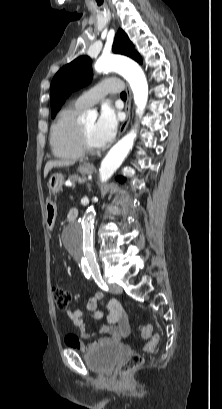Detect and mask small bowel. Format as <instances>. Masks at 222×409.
Returning a JSON list of instances; mask_svg holds the SVG:
<instances>
[{
    "instance_id": "obj_1",
    "label": "small bowel",
    "mask_w": 222,
    "mask_h": 409,
    "mask_svg": "<svg viewBox=\"0 0 222 409\" xmlns=\"http://www.w3.org/2000/svg\"><path fill=\"white\" fill-rule=\"evenodd\" d=\"M104 297L105 295L99 292L90 298L83 308L68 309L67 315L73 324L78 327L81 339H90L96 333L105 334L106 336L87 346L77 337L68 336L66 341L69 347L80 352H86L99 345L118 343L129 335L128 317L122 304L117 299H111L104 307H101L99 303ZM87 316L95 321L105 318V323L97 331L90 332L87 330Z\"/></svg>"
}]
</instances>
